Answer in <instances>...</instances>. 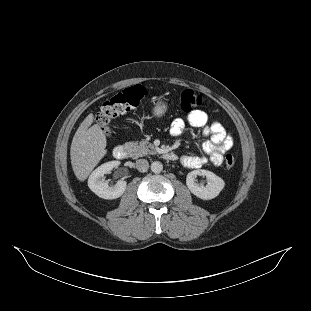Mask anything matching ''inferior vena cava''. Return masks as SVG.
I'll list each match as a JSON object with an SVG mask.
<instances>
[{
    "mask_svg": "<svg viewBox=\"0 0 311 311\" xmlns=\"http://www.w3.org/2000/svg\"><path fill=\"white\" fill-rule=\"evenodd\" d=\"M136 168L139 172H146L149 168V163L145 159H139L136 161Z\"/></svg>",
    "mask_w": 311,
    "mask_h": 311,
    "instance_id": "602c4592",
    "label": "inferior vena cava"
}]
</instances>
